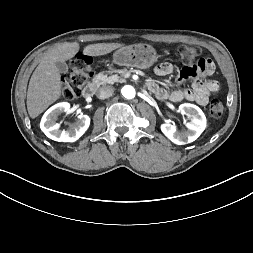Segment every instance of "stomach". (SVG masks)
<instances>
[{
	"mask_svg": "<svg viewBox=\"0 0 253 253\" xmlns=\"http://www.w3.org/2000/svg\"><path fill=\"white\" fill-rule=\"evenodd\" d=\"M157 61L155 49L149 44L138 43L121 47L113 54V62L119 66L146 69Z\"/></svg>",
	"mask_w": 253,
	"mask_h": 253,
	"instance_id": "stomach-1",
	"label": "stomach"
}]
</instances>
